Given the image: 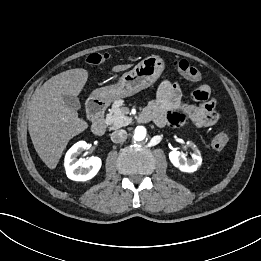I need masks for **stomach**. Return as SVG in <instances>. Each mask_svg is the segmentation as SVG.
<instances>
[{
	"label": "stomach",
	"mask_w": 261,
	"mask_h": 261,
	"mask_svg": "<svg viewBox=\"0 0 261 261\" xmlns=\"http://www.w3.org/2000/svg\"><path fill=\"white\" fill-rule=\"evenodd\" d=\"M164 70V61L156 55L148 56L135 67L125 72L115 85L98 88L92 92V99L100 102L132 96L150 87L160 77Z\"/></svg>",
	"instance_id": "0dacf381"
}]
</instances>
